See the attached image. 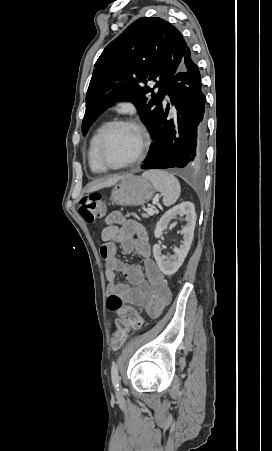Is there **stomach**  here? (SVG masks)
<instances>
[{"label": "stomach", "instance_id": "1", "mask_svg": "<svg viewBox=\"0 0 272 451\" xmlns=\"http://www.w3.org/2000/svg\"><path fill=\"white\" fill-rule=\"evenodd\" d=\"M155 190L141 176L127 174L111 192V200L116 206H143L154 196Z\"/></svg>", "mask_w": 272, "mask_h": 451}]
</instances>
